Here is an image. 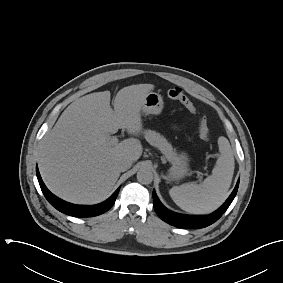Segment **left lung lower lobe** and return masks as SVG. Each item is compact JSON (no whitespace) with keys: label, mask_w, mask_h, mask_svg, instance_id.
Listing matches in <instances>:
<instances>
[{"label":"left lung lower lobe","mask_w":283,"mask_h":283,"mask_svg":"<svg viewBox=\"0 0 283 283\" xmlns=\"http://www.w3.org/2000/svg\"><path fill=\"white\" fill-rule=\"evenodd\" d=\"M238 186H239V180L233 192L231 193L229 198L226 200V202L218 210H216L214 213L210 215L194 216V215H183V214L172 212L166 209L161 204L155 191H153V205H154V209L156 213L158 214V216L163 221L169 223L170 225H173L179 228H185V229L204 228V227H207L213 224L223 215V213L227 210V208L232 203L234 197L236 196Z\"/></svg>","instance_id":"1"}]
</instances>
